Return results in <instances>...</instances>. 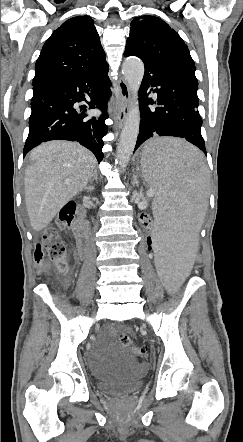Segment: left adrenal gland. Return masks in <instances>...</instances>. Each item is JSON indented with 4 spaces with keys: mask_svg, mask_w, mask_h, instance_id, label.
<instances>
[{
    "mask_svg": "<svg viewBox=\"0 0 243 442\" xmlns=\"http://www.w3.org/2000/svg\"><path fill=\"white\" fill-rule=\"evenodd\" d=\"M133 185L139 186V181L137 179V175L136 174H134V176H133Z\"/></svg>",
    "mask_w": 243,
    "mask_h": 442,
    "instance_id": "left-adrenal-gland-1",
    "label": "left adrenal gland"
}]
</instances>
